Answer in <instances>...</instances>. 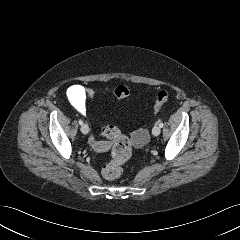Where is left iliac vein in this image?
Masks as SVG:
<instances>
[{
    "instance_id": "1",
    "label": "left iliac vein",
    "mask_w": 240,
    "mask_h": 240,
    "mask_svg": "<svg viewBox=\"0 0 240 240\" xmlns=\"http://www.w3.org/2000/svg\"><path fill=\"white\" fill-rule=\"evenodd\" d=\"M160 132H161L160 127H159L158 125H155V126L153 127V129H152V134H153L154 136H158V135L160 134Z\"/></svg>"
}]
</instances>
